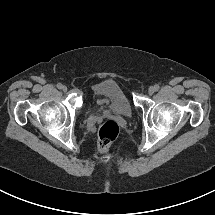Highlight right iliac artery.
<instances>
[{
  "label": "right iliac artery",
  "mask_w": 215,
  "mask_h": 215,
  "mask_svg": "<svg viewBox=\"0 0 215 215\" xmlns=\"http://www.w3.org/2000/svg\"><path fill=\"white\" fill-rule=\"evenodd\" d=\"M62 86H63V85H62L61 83H58V84H57V88H58V89H61Z\"/></svg>",
  "instance_id": "right-iliac-artery-1"
}]
</instances>
